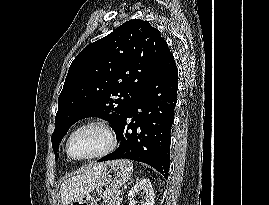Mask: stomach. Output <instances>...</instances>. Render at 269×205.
I'll list each match as a JSON object with an SVG mask.
<instances>
[{
	"mask_svg": "<svg viewBox=\"0 0 269 205\" xmlns=\"http://www.w3.org/2000/svg\"><path fill=\"white\" fill-rule=\"evenodd\" d=\"M133 172V164L129 160H115L107 164L103 171L95 193L107 203L116 197L118 190L130 179ZM70 205H98L97 200L90 194H86Z\"/></svg>",
	"mask_w": 269,
	"mask_h": 205,
	"instance_id": "stomach-1",
	"label": "stomach"
}]
</instances>
